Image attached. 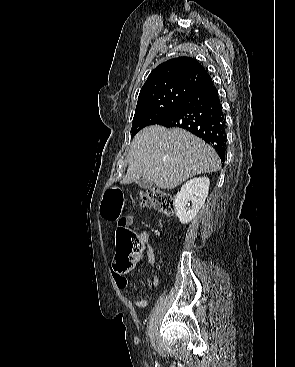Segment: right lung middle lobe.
<instances>
[{"instance_id": "right-lung-middle-lobe-1", "label": "right lung middle lobe", "mask_w": 295, "mask_h": 367, "mask_svg": "<svg viewBox=\"0 0 295 367\" xmlns=\"http://www.w3.org/2000/svg\"><path fill=\"white\" fill-rule=\"evenodd\" d=\"M192 93L194 92L178 87L156 92L138 99L131 136L137 134L142 128L157 124L166 118Z\"/></svg>"}]
</instances>
